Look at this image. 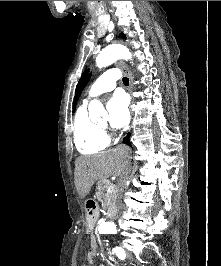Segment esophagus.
Returning a JSON list of instances; mask_svg holds the SVG:
<instances>
[{
  "instance_id": "34e87169",
  "label": "esophagus",
  "mask_w": 221,
  "mask_h": 266,
  "mask_svg": "<svg viewBox=\"0 0 221 266\" xmlns=\"http://www.w3.org/2000/svg\"><path fill=\"white\" fill-rule=\"evenodd\" d=\"M118 66L122 69V71L126 74V76L128 77V79H129V83H130V85H129V92H130V94H132V92H133V75H132V73L130 72V70L128 69V67L125 65V63L124 62H119V64H118Z\"/></svg>"
}]
</instances>
